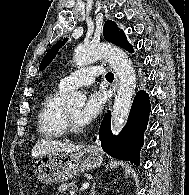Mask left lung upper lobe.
Returning a JSON list of instances; mask_svg holds the SVG:
<instances>
[{
	"label": "left lung upper lobe",
	"instance_id": "left-lung-upper-lobe-1",
	"mask_svg": "<svg viewBox=\"0 0 189 195\" xmlns=\"http://www.w3.org/2000/svg\"><path fill=\"white\" fill-rule=\"evenodd\" d=\"M104 38L116 45L123 47L124 49L128 50L130 53H133L134 50L130 43L127 41L126 36L124 35L123 31L117 28V25L112 21H107L103 28ZM68 39L65 38L63 41H59L56 45H54L43 58L39 69L44 70L54 59L58 50L65 44Z\"/></svg>",
	"mask_w": 189,
	"mask_h": 195
}]
</instances>
